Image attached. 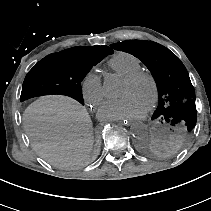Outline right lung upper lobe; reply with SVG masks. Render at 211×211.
<instances>
[{"label": "right lung upper lobe", "instance_id": "cb5924a9", "mask_svg": "<svg viewBox=\"0 0 211 211\" xmlns=\"http://www.w3.org/2000/svg\"><path fill=\"white\" fill-rule=\"evenodd\" d=\"M66 51L79 54V55H104L107 56L109 54H113V50L108 46H77L70 49H66Z\"/></svg>", "mask_w": 211, "mask_h": 211}]
</instances>
